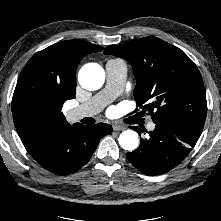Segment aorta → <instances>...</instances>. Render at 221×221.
<instances>
[{"mask_svg":"<svg viewBox=\"0 0 221 221\" xmlns=\"http://www.w3.org/2000/svg\"><path fill=\"white\" fill-rule=\"evenodd\" d=\"M78 80L83 88L97 90L105 81V72L99 64L88 63L80 69ZM119 144L125 150H135L139 145L138 134L133 130L123 131L119 136Z\"/></svg>","mask_w":221,"mask_h":221,"instance_id":"aorta-1","label":"aorta"}]
</instances>
